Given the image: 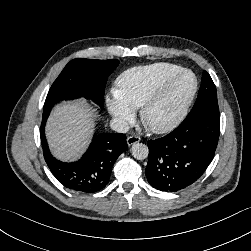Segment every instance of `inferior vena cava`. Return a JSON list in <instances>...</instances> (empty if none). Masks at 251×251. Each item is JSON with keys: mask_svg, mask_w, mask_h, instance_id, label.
I'll return each instance as SVG.
<instances>
[{"mask_svg": "<svg viewBox=\"0 0 251 251\" xmlns=\"http://www.w3.org/2000/svg\"><path fill=\"white\" fill-rule=\"evenodd\" d=\"M110 126L114 131L119 133H126L129 130L128 122L121 118L111 119Z\"/></svg>", "mask_w": 251, "mask_h": 251, "instance_id": "inferior-vena-cava-1", "label": "inferior vena cava"}]
</instances>
